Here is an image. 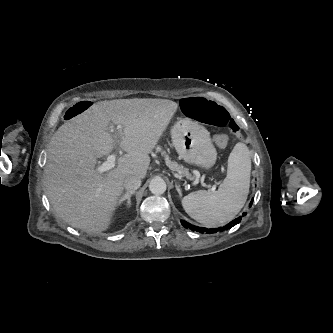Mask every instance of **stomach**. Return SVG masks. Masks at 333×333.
Wrapping results in <instances>:
<instances>
[{"instance_id": "stomach-1", "label": "stomach", "mask_w": 333, "mask_h": 333, "mask_svg": "<svg viewBox=\"0 0 333 333\" xmlns=\"http://www.w3.org/2000/svg\"><path fill=\"white\" fill-rule=\"evenodd\" d=\"M172 143L181 159L209 170L217 160L216 148L211 144L210 133L197 121L179 119L171 129Z\"/></svg>"}]
</instances>
